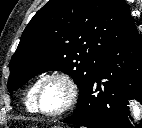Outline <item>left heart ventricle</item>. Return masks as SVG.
<instances>
[{"label": "left heart ventricle", "mask_w": 142, "mask_h": 128, "mask_svg": "<svg viewBox=\"0 0 142 128\" xmlns=\"http://www.w3.org/2000/svg\"><path fill=\"white\" fill-rule=\"evenodd\" d=\"M66 87L58 80L51 79L43 83L39 96L41 109L47 112L59 110L66 102Z\"/></svg>", "instance_id": "1"}]
</instances>
